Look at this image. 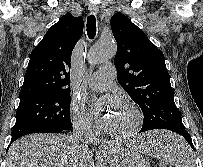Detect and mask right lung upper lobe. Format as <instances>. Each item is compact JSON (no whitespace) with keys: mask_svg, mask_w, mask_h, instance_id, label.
Returning a JSON list of instances; mask_svg holds the SVG:
<instances>
[{"mask_svg":"<svg viewBox=\"0 0 203 167\" xmlns=\"http://www.w3.org/2000/svg\"><path fill=\"white\" fill-rule=\"evenodd\" d=\"M83 32L82 17L64 15L33 49L21 87L20 101L70 91V61Z\"/></svg>","mask_w":203,"mask_h":167,"instance_id":"cb5924a9","label":"right lung upper lobe"}]
</instances>
